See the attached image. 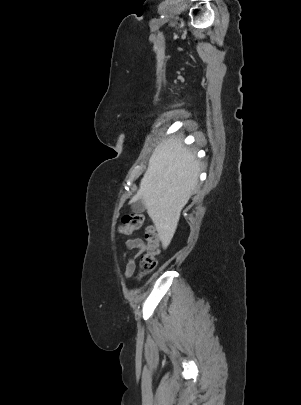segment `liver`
I'll use <instances>...</instances> for the list:
<instances>
[{"label": "liver", "instance_id": "obj_1", "mask_svg": "<svg viewBox=\"0 0 301 405\" xmlns=\"http://www.w3.org/2000/svg\"><path fill=\"white\" fill-rule=\"evenodd\" d=\"M198 177L199 161L181 138L171 136L157 144L131 201H143L165 247L173 238L181 210L197 187Z\"/></svg>", "mask_w": 301, "mask_h": 405}]
</instances>
